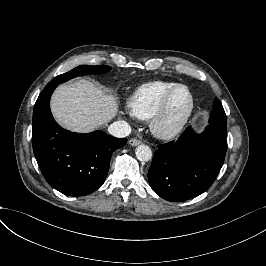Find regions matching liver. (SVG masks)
<instances>
[{"label": "liver", "instance_id": "liver-1", "mask_svg": "<svg viewBox=\"0 0 266 266\" xmlns=\"http://www.w3.org/2000/svg\"><path fill=\"white\" fill-rule=\"evenodd\" d=\"M106 91L85 79L62 84L52 95V114L70 131L92 132L110 122L118 112L117 98Z\"/></svg>", "mask_w": 266, "mask_h": 266}]
</instances>
